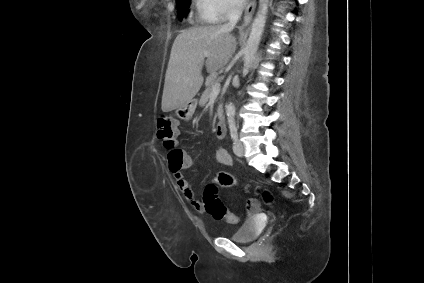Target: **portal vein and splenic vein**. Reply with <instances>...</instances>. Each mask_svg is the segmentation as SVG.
<instances>
[{
	"label": "portal vein and splenic vein",
	"mask_w": 424,
	"mask_h": 283,
	"mask_svg": "<svg viewBox=\"0 0 424 283\" xmlns=\"http://www.w3.org/2000/svg\"><path fill=\"white\" fill-rule=\"evenodd\" d=\"M204 54H205V56H208V52H205ZM220 89H221V84H220V82L215 83V84L212 86L211 96L218 95V94L220 93Z\"/></svg>",
	"instance_id": "18ae733b"
}]
</instances>
